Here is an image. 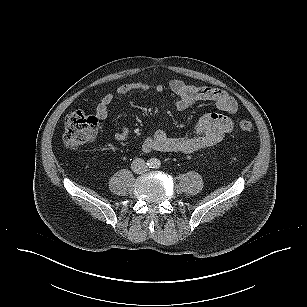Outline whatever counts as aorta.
<instances>
[{"instance_id":"obj_1","label":"aorta","mask_w":307,"mask_h":307,"mask_svg":"<svg viewBox=\"0 0 307 307\" xmlns=\"http://www.w3.org/2000/svg\"><path fill=\"white\" fill-rule=\"evenodd\" d=\"M159 163H160V161L158 159H156V158L151 159V165L152 166L155 167V166L159 165Z\"/></svg>"}]
</instances>
